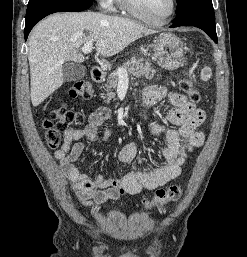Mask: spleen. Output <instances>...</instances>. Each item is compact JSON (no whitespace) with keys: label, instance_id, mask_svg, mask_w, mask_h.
Here are the masks:
<instances>
[{"label":"spleen","instance_id":"1","mask_svg":"<svg viewBox=\"0 0 247 257\" xmlns=\"http://www.w3.org/2000/svg\"><path fill=\"white\" fill-rule=\"evenodd\" d=\"M211 75H212V71L209 67H206L201 71V79L204 81H208Z\"/></svg>","mask_w":247,"mask_h":257}]
</instances>
